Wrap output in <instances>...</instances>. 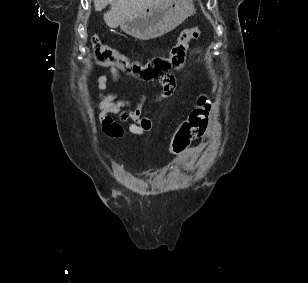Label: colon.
<instances>
[{"label":"colon","mask_w":308,"mask_h":283,"mask_svg":"<svg viewBox=\"0 0 308 283\" xmlns=\"http://www.w3.org/2000/svg\"><path fill=\"white\" fill-rule=\"evenodd\" d=\"M201 36L199 28L181 30L175 44L170 50L160 56H155L147 62L133 61L115 49L103 45L97 36L91 37V45L96 58L110 66L147 81H159L161 85L175 86L172 72L182 67L185 62L189 43ZM211 114V101L207 96L198 98L189 116L181 121L172 134L170 153L182 155L188 146L205 132Z\"/></svg>","instance_id":"obj_1"}]
</instances>
